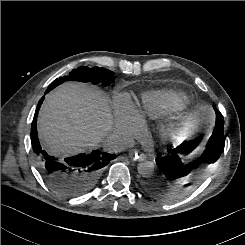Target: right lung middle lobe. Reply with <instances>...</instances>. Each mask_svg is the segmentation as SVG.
Masks as SVG:
<instances>
[{"mask_svg":"<svg viewBox=\"0 0 245 245\" xmlns=\"http://www.w3.org/2000/svg\"><path fill=\"white\" fill-rule=\"evenodd\" d=\"M115 79L114 73L105 68H89V67H80L74 69L67 76L60 77L56 79L52 84L49 85L46 92L52 90L57 85L62 84L65 81H81V82H91L93 84H102L103 86H109L113 83Z\"/></svg>","mask_w":245,"mask_h":245,"instance_id":"1","label":"right lung middle lobe"}]
</instances>
